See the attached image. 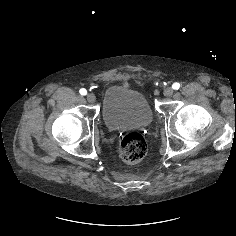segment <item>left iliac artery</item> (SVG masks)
I'll return each mask as SVG.
<instances>
[{"label":"left iliac artery","mask_w":236,"mask_h":236,"mask_svg":"<svg viewBox=\"0 0 236 236\" xmlns=\"http://www.w3.org/2000/svg\"><path fill=\"white\" fill-rule=\"evenodd\" d=\"M172 88L175 90H178L180 88V84L175 82V83H173Z\"/></svg>","instance_id":"1"}]
</instances>
